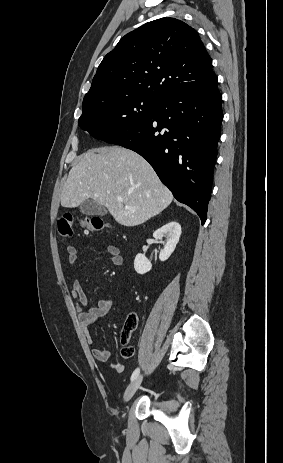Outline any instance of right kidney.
I'll return each mask as SVG.
<instances>
[{
	"mask_svg": "<svg viewBox=\"0 0 283 463\" xmlns=\"http://www.w3.org/2000/svg\"><path fill=\"white\" fill-rule=\"evenodd\" d=\"M181 235V226L178 222L172 221L162 226L153 233V237L161 240L163 237L167 238L163 250L159 254L160 261L167 260L176 248ZM152 268L151 262L145 257L144 254H137L134 260V269L138 274H145Z\"/></svg>",
	"mask_w": 283,
	"mask_h": 463,
	"instance_id": "1",
	"label": "right kidney"
}]
</instances>
